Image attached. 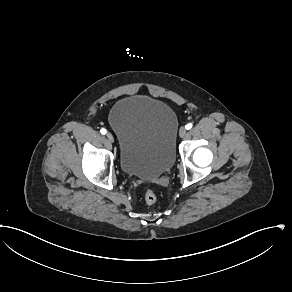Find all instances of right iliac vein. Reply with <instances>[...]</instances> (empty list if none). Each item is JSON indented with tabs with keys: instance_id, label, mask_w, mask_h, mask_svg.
<instances>
[{
	"instance_id": "obj_1",
	"label": "right iliac vein",
	"mask_w": 292,
	"mask_h": 292,
	"mask_svg": "<svg viewBox=\"0 0 292 292\" xmlns=\"http://www.w3.org/2000/svg\"><path fill=\"white\" fill-rule=\"evenodd\" d=\"M106 137L110 142L114 141L113 135L111 133H107Z\"/></svg>"
}]
</instances>
